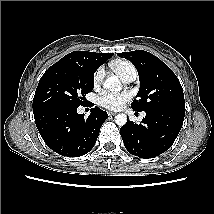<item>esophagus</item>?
<instances>
[{
	"label": "esophagus",
	"instance_id": "1",
	"mask_svg": "<svg viewBox=\"0 0 214 214\" xmlns=\"http://www.w3.org/2000/svg\"><path fill=\"white\" fill-rule=\"evenodd\" d=\"M108 115H109V116H115L116 113H115V112H108Z\"/></svg>",
	"mask_w": 214,
	"mask_h": 214
}]
</instances>
